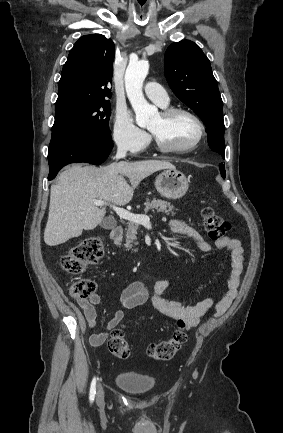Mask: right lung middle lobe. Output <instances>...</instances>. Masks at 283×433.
Returning a JSON list of instances; mask_svg holds the SVG:
<instances>
[{
  "label": "right lung middle lobe",
  "instance_id": "right-lung-middle-lobe-1",
  "mask_svg": "<svg viewBox=\"0 0 283 433\" xmlns=\"http://www.w3.org/2000/svg\"><path fill=\"white\" fill-rule=\"evenodd\" d=\"M110 102L99 100L82 103L55 111V122L52 133L85 132L102 139H111L109 118Z\"/></svg>",
  "mask_w": 283,
  "mask_h": 433
}]
</instances>
